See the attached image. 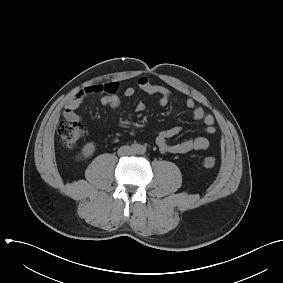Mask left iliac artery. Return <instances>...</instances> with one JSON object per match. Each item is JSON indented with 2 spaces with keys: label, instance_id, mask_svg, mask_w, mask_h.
I'll use <instances>...</instances> for the list:
<instances>
[{
  "label": "left iliac artery",
  "instance_id": "44dca946",
  "mask_svg": "<svg viewBox=\"0 0 283 283\" xmlns=\"http://www.w3.org/2000/svg\"><path fill=\"white\" fill-rule=\"evenodd\" d=\"M146 152V148L144 146L139 147V153L144 154Z\"/></svg>",
  "mask_w": 283,
  "mask_h": 283
}]
</instances>
